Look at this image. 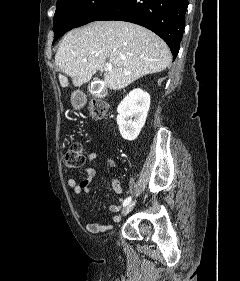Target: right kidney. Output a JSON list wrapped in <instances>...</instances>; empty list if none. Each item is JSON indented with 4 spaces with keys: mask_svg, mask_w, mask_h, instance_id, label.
<instances>
[{
    "mask_svg": "<svg viewBox=\"0 0 240 281\" xmlns=\"http://www.w3.org/2000/svg\"><path fill=\"white\" fill-rule=\"evenodd\" d=\"M149 107L150 95L140 88L132 90L120 102L117 108V124L123 139L133 141L137 138L145 124Z\"/></svg>",
    "mask_w": 240,
    "mask_h": 281,
    "instance_id": "obj_1",
    "label": "right kidney"
}]
</instances>
